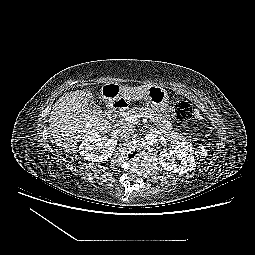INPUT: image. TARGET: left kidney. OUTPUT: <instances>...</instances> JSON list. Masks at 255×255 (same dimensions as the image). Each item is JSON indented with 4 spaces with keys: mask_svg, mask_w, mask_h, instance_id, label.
<instances>
[{
    "mask_svg": "<svg viewBox=\"0 0 255 255\" xmlns=\"http://www.w3.org/2000/svg\"><path fill=\"white\" fill-rule=\"evenodd\" d=\"M173 152L181 161L180 165L177 164L171 153L161 151L159 160L160 165L166 171H173L174 173L185 174L192 171L196 167L195 159L193 156V146L187 142H177L172 145Z\"/></svg>",
    "mask_w": 255,
    "mask_h": 255,
    "instance_id": "left-kidney-1",
    "label": "left kidney"
}]
</instances>
